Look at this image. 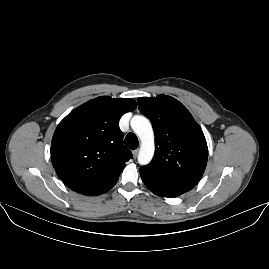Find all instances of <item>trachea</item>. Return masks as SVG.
Here are the masks:
<instances>
[{
	"mask_svg": "<svg viewBox=\"0 0 269 269\" xmlns=\"http://www.w3.org/2000/svg\"><path fill=\"white\" fill-rule=\"evenodd\" d=\"M125 144L132 150L136 149L139 146L137 136L134 133H129L125 138Z\"/></svg>",
	"mask_w": 269,
	"mask_h": 269,
	"instance_id": "1",
	"label": "trachea"
}]
</instances>
